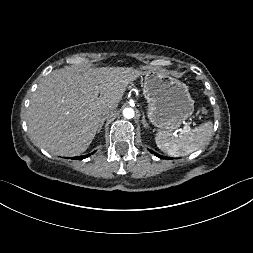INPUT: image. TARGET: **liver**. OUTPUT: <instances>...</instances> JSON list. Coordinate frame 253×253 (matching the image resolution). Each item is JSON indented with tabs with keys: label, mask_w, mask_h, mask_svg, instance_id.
I'll return each instance as SVG.
<instances>
[{
	"label": "liver",
	"mask_w": 253,
	"mask_h": 253,
	"mask_svg": "<svg viewBox=\"0 0 253 253\" xmlns=\"http://www.w3.org/2000/svg\"><path fill=\"white\" fill-rule=\"evenodd\" d=\"M142 74L123 67L54 70L38 86L28 108L33 140L59 156L80 155L98 131L103 108L118 105L129 84Z\"/></svg>",
	"instance_id": "1"
}]
</instances>
